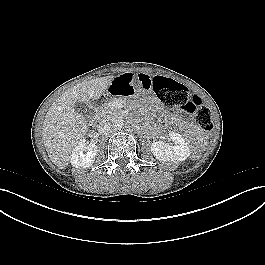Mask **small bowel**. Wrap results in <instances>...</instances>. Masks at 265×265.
Returning <instances> with one entry per match:
<instances>
[{"instance_id":"obj_1","label":"small bowel","mask_w":265,"mask_h":265,"mask_svg":"<svg viewBox=\"0 0 265 265\" xmlns=\"http://www.w3.org/2000/svg\"><path fill=\"white\" fill-rule=\"evenodd\" d=\"M131 79L132 76L130 74L118 77L111 83V92L117 96L131 95L135 89L134 83L131 81Z\"/></svg>"}]
</instances>
